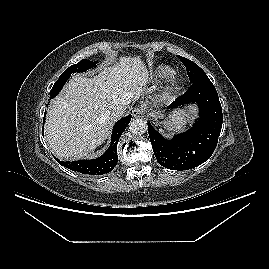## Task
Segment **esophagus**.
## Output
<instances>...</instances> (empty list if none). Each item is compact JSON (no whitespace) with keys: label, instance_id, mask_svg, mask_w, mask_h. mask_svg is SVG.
Returning <instances> with one entry per match:
<instances>
[{"label":"esophagus","instance_id":"esophagus-1","mask_svg":"<svg viewBox=\"0 0 269 269\" xmlns=\"http://www.w3.org/2000/svg\"><path fill=\"white\" fill-rule=\"evenodd\" d=\"M132 115L135 117V118H141V117H144L145 115V110L142 106H137L133 112H132Z\"/></svg>","mask_w":269,"mask_h":269}]
</instances>
